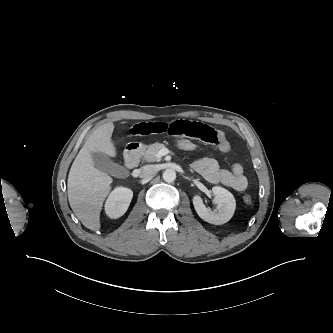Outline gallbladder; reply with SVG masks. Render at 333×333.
<instances>
[{
	"mask_svg": "<svg viewBox=\"0 0 333 333\" xmlns=\"http://www.w3.org/2000/svg\"><path fill=\"white\" fill-rule=\"evenodd\" d=\"M92 159L94 166L112 176H119L124 167L118 163L113 162L105 153L103 152H93Z\"/></svg>",
	"mask_w": 333,
	"mask_h": 333,
	"instance_id": "bac80fb5",
	"label": "gallbladder"
}]
</instances>
